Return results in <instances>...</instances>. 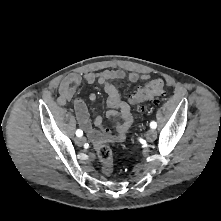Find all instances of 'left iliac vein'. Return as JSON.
<instances>
[{
	"label": "left iliac vein",
	"instance_id": "4c4485c4",
	"mask_svg": "<svg viewBox=\"0 0 221 221\" xmlns=\"http://www.w3.org/2000/svg\"><path fill=\"white\" fill-rule=\"evenodd\" d=\"M157 137V132L153 129H150L147 131L146 133V140L149 141V142H152L156 139Z\"/></svg>",
	"mask_w": 221,
	"mask_h": 221
}]
</instances>
